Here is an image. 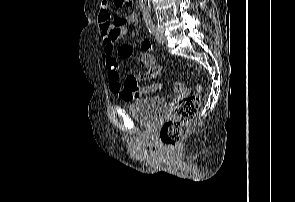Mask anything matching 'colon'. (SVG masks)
<instances>
[{
	"mask_svg": "<svg viewBox=\"0 0 295 202\" xmlns=\"http://www.w3.org/2000/svg\"><path fill=\"white\" fill-rule=\"evenodd\" d=\"M116 6L130 7L133 5V0H112ZM139 65L145 70H136V75H159L161 67L157 65V56L154 52H142L139 56ZM142 83L141 79H134L128 76L125 80V90H138L139 84ZM177 92H182L184 85L181 82L173 84ZM161 84L157 82H146L143 85V90H160ZM201 87L197 85V92L190 95V98H182L179 101V107H175L173 117L165 121L160 129V139L168 146L178 145L187 135L190 123L195 118L198 109L201 105Z\"/></svg>",
	"mask_w": 295,
	"mask_h": 202,
	"instance_id": "1",
	"label": "colon"
}]
</instances>
